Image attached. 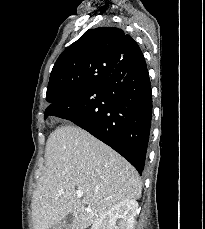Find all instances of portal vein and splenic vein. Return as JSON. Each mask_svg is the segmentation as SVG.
Wrapping results in <instances>:
<instances>
[{"mask_svg":"<svg viewBox=\"0 0 205 229\" xmlns=\"http://www.w3.org/2000/svg\"><path fill=\"white\" fill-rule=\"evenodd\" d=\"M83 196V192L82 191H77V197L81 198Z\"/></svg>","mask_w":205,"mask_h":229,"instance_id":"1","label":"portal vein and splenic vein"}]
</instances>
